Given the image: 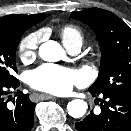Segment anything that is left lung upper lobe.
<instances>
[{"label":"left lung upper lobe","mask_w":131,"mask_h":131,"mask_svg":"<svg viewBox=\"0 0 131 131\" xmlns=\"http://www.w3.org/2000/svg\"><path fill=\"white\" fill-rule=\"evenodd\" d=\"M71 17L95 32L102 59L99 76L90 91L131 96V29L113 13L99 8L74 12Z\"/></svg>","instance_id":"1"}]
</instances>
